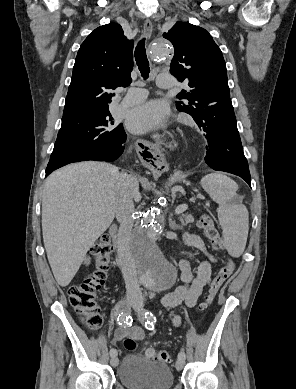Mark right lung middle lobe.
<instances>
[{
	"instance_id": "dd1d6c3e",
	"label": "right lung middle lobe",
	"mask_w": 296,
	"mask_h": 389,
	"mask_svg": "<svg viewBox=\"0 0 296 389\" xmlns=\"http://www.w3.org/2000/svg\"><path fill=\"white\" fill-rule=\"evenodd\" d=\"M123 138V126L115 123L109 110L63 117L47 168L75 160L83 153L110 150Z\"/></svg>"
}]
</instances>
